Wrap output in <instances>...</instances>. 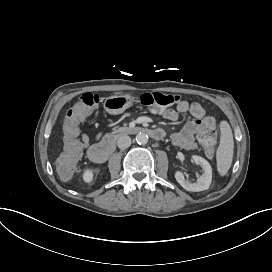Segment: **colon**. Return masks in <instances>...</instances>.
I'll use <instances>...</instances> for the list:
<instances>
[{"instance_id":"colon-1","label":"colon","mask_w":272,"mask_h":272,"mask_svg":"<svg viewBox=\"0 0 272 272\" xmlns=\"http://www.w3.org/2000/svg\"><path fill=\"white\" fill-rule=\"evenodd\" d=\"M177 100L175 95H165L163 93L154 92L151 94H143L140 96L139 102L142 106L147 107L152 112L165 110L174 104ZM99 103V96L94 93H85L76 104L66 111V133L61 141L63 151L60 160L57 162V172L62 180H69L71 172H74L79 167L78 158L82 154V149L79 145L80 136L77 133V127L80 120L90 118L93 115L92 108ZM201 139L206 150L211 149L217 144V134L215 124L212 120H207L204 123V132L201 134Z\"/></svg>"}]
</instances>
